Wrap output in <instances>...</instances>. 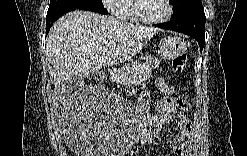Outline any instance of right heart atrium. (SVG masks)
<instances>
[{"instance_id": "1", "label": "right heart atrium", "mask_w": 247, "mask_h": 156, "mask_svg": "<svg viewBox=\"0 0 247 156\" xmlns=\"http://www.w3.org/2000/svg\"><path fill=\"white\" fill-rule=\"evenodd\" d=\"M122 1L119 0H105L104 6L113 14L118 15L121 12Z\"/></svg>"}]
</instances>
